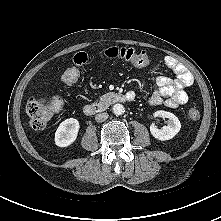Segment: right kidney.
<instances>
[{
  "label": "right kidney",
  "mask_w": 221,
  "mask_h": 221,
  "mask_svg": "<svg viewBox=\"0 0 221 221\" xmlns=\"http://www.w3.org/2000/svg\"><path fill=\"white\" fill-rule=\"evenodd\" d=\"M80 125L74 118L64 120L55 133V144L59 147L71 145L77 138Z\"/></svg>",
  "instance_id": "1"
}]
</instances>
